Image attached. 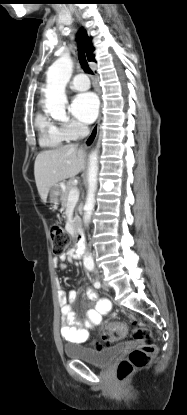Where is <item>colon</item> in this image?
<instances>
[{
	"label": "colon",
	"mask_w": 187,
	"mask_h": 415,
	"mask_svg": "<svg viewBox=\"0 0 187 415\" xmlns=\"http://www.w3.org/2000/svg\"><path fill=\"white\" fill-rule=\"evenodd\" d=\"M52 251L55 255H62L71 244L70 235L60 225L50 227ZM131 336L140 342L129 355L122 359L117 366L119 380L127 379L137 368L145 367L157 351L152 331L135 319L132 323ZM101 342L95 344L96 349H102L125 336V327L122 323H112L103 329Z\"/></svg>",
	"instance_id": "1"
}]
</instances>
